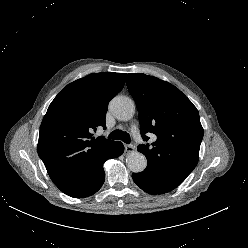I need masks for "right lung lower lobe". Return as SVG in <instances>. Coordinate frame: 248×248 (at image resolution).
I'll return each mask as SVG.
<instances>
[{
	"label": "right lung lower lobe",
	"mask_w": 248,
	"mask_h": 248,
	"mask_svg": "<svg viewBox=\"0 0 248 248\" xmlns=\"http://www.w3.org/2000/svg\"><path fill=\"white\" fill-rule=\"evenodd\" d=\"M123 152V144L121 142H115V144L111 147L110 152L107 155V160L110 158H117L122 155ZM104 180L105 172L103 170L102 164L93 176L89 177L81 185L71 190L65 191L64 193L74 198H84L96 193L103 185Z\"/></svg>",
	"instance_id": "right-lung-lower-lobe-1"
}]
</instances>
